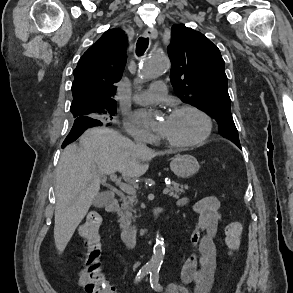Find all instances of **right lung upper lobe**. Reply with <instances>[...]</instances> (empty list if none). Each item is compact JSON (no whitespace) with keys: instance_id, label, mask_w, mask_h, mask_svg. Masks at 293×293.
Segmentation results:
<instances>
[{"instance_id":"right-lung-upper-lobe-1","label":"right lung upper lobe","mask_w":293,"mask_h":293,"mask_svg":"<svg viewBox=\"0 0 293 293\" xmlns=\"http://www.w3.org/2000/svg\"><path fill=\"white\" fill-rule=\"evenodd\" d=\"M126 45L121 29H109L80 58L74 70L71 104L78 117L95 118L90 110L115 104V84L124 70Z\"/></svg>"}]
</instances>
